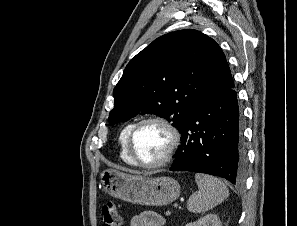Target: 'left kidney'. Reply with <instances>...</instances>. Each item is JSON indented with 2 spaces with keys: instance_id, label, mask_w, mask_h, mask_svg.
<instances>
[{
  "instance_id": "5707ae66",
  "label": "left kidney",
  "mask_w": 297,
  "mask_h": 226,
  "mask_svg": "<svg viewBox=\"0 0 297 226\" xmlns=\"http://www.w3.org/2000/svg\"><path fill=\"white\" fill-rule=\"evenodd\" d=\"M185 226H222L220 219L215 214H208L197 221L186 224Z\"/></svg>"
}]
</instances>
